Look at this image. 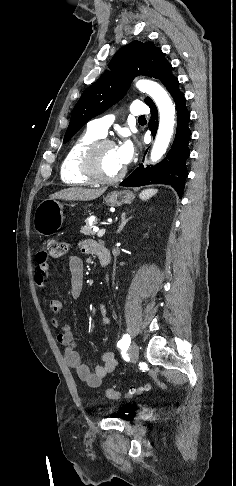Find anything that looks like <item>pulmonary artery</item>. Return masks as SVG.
I'll return each mask as SVG.
<instances>
[{
    "mask_svg": "<svg viewBox=\"0 0 236 486\" xmlns=\"http://www.w3.org/2000/svg\"><path fill=\"white\" fill-rule=\"evenodd\" d=\"M130 113L133 116H145L149 113V108L143 102L136 101L130 106ZM113 117L108 115L101 118L93 119L88 123V129L100 136H105Z\"/></svg>",
    "mask_w": 236,
    "mask_h": 486,
    "instance_id": "1",
    "label": "pulmonary artery"
}]
</instances>
